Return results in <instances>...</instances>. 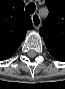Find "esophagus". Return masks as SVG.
Here are the masks:
<instances>
[{
    "label": "esophagus",
    "mask_w": 65,
    "mask_h": 89,
    "mask_svg": "<svg viewBox=\"0 0 65 89\" xmlns=\"http://www.w3.org/2000/svg\"><path fill=\"white\" fill-rule=\"evenodd\" d=\"M32 22H33V25L36 29H39L40 25H41V18L39 16L38 13H34L32 15Z\"/></svg>",
    "instance_id": "1"
}]
</instances>
